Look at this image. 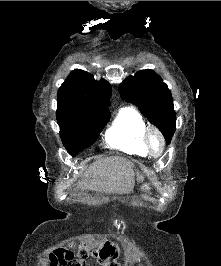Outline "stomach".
Listing matches in <instances>:
<instances>
[{"instance_id":"stomach-1","label":"stomach","mask_w":221,"mask_h":266,"mask_svg":"<svg viewBox=\"0 0 221 266\" xmlns=\"http://www.w3.org/2000/svg\"><path fill=\"white\" fill-rule=\"evenodd\" d=\"M139 190H140L141 192H150V191L152 190V187H151L149 184H147V183H142V184L140 185Z\"/></svg>"}]
</instances>
